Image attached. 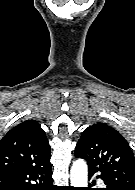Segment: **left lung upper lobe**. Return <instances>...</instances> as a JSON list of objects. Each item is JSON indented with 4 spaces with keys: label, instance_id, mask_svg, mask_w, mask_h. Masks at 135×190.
Listing matches in <instances>:
<instances>
[{
    "label": "left lung upper lobe",
    "instance_id": "left-lung-upper-lobe-1",
    "mask_svg": "<svg viewBox=\"0 0 135 190\" xmlns=\"http://www.w3.org/2000/svg\"><path fill=\"white\" fill-rule=\"evenodd\" d=\"M75 155L85 159L122 190H135V157L124 137L111 126L96 123L86 128Z\"/></svg>",
    "mask_w": 135,
    "mask_h": 190
}]
</instances>
